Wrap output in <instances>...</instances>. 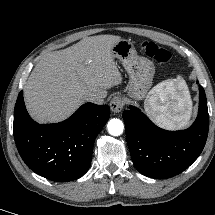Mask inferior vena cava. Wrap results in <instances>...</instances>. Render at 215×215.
I'll use <instances>...</instances> for the list:
<instances>
[{
    "instance_id": "obj_1",
    "label": "inferior vena cava",
    "mask_w": 215,
    "mask_h": 215,
    "mask_svg": "<svg viewBox=\"0 0 215 215\" xmlns=\"http://www.w3.org/2000/svg\"><path fill=\"white\" fill-rule=\"evenodd\" d=\"M105 96L100 93H90L87 95V101L92 102L94 104L102 105L104 103Z\"/></svg>"
}]
</instances>
